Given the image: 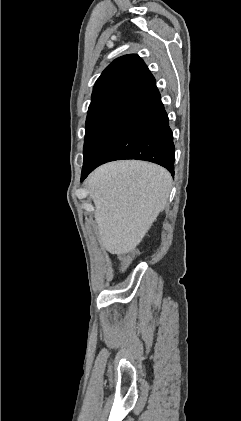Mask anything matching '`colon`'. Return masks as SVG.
Instances as JSON below:
<instances>
[{"label": "colon", "instance_id": "5ec220e1", "mask_svg": "<svg viewBox=\"0 0 241 421\" xmlns=\"http://www.w3.org/2000/svg\"><path fill=\"white\" fill-rule=\"evenodd\" d=\"M134 257L133 251H126L120 254L121 270L125 269Z\"/></svg>", "mask_w": 241, "mask_h": 421}]
</instances>
